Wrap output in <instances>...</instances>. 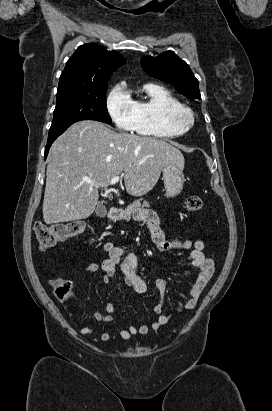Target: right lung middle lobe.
Segmentation results:
<instances>
[{"instance_id":"right-lung-middle-lobe-1","label":"right lung middle lobe","mask_w":272,"mask_h":411,"mask_svg":"<svg viewBox=\"0 0 272 411\" xmlns=\"http://www.w3.org/2000/svg\"><path fill=\"white\" fill-rule=\"evenodd\" d=\"M107 83L80 90L57 92V103L48 139L58 137L81 120L111 124L106 107Z\"/></svg>"}]
</instances>
